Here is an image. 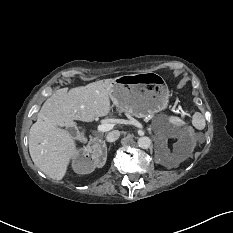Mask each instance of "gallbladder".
Instances as JSON below:
<instances>
[{
	"mask_svg": "<svg viewBox=\"0 0 233 233\" xmlns=\"http://www.w3.org/2000/svg\"><path fill=\"white\" fill-rule=\"evenodd\" d=\"M66 130H67L71 135H75V134H76V130H75V128H73V127L67 128Z\"/></svg>",
	"mask_w": 233,
	"mask_h": 233,
	"instance_id": "gallbladder-1",
	"label": "gallbladder"
}]
</instances>
